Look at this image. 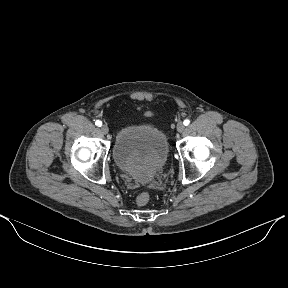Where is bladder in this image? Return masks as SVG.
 I'll return each instance as SVG.
<instances>
[{
	"label": "bladder",
	"instance_id": "obj_1",
	"mask_svg": "<svg viewBox=\"0 0 288 288\" xmlns=\"http://www.w3.org/2000/svg\"><path fill=\"white\" fill-rule=\"evenodd\" d=\"M169 153L165 133L152 124H128L116 133L113 158L135 181H151L165 165Z\"/></svg>",
	"mask_w": 288,
	"mask_h": 288
}]
</instances>
